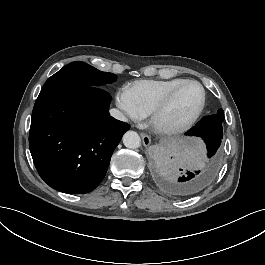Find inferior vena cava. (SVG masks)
<instances>
[{"mask_svg": "<svg viewBox=\"0 0 265 265\" xmlns=\"http://www.w3.org/2000/svg\"><path fill=\"white\" fill-rule=\"evenodd\" d=\"M110 114L112 117H114L117 120L123 121V122H127V118L123 115L122 112H120L117 109H111L110 110Z\"/></svg>", "mask_w": 265, "mask_h": 265, "instance_id": "1", "label": "inferior vena cava"}]
</instances>
